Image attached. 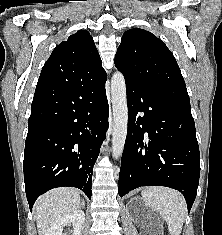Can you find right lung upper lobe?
I'll list each match as a JSON object with an SVG mask.
<instances>
[{
	"label": "right lung upper lobe",
	"instance_id": "right-lung-upper-lobe-1",
	"mask_svg": "<svg viewBox=\"0 0 222 235\" xmlns=\"http://www.w3.org/2000/svg\"><path fill=\"white\" fill-rule=\"evenodd\" d=\"M105 74L92 36L86 30H79L55 47L43 66L37 85L71 86ZM46 118L45 114L30 116L28 122Z\"/></svg>",
	"mask_w": 222,
	"mask_h": 235
}]
</instances>
